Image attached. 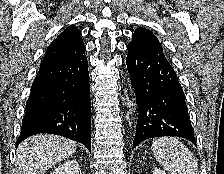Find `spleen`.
Segmentation results:
<instances>
[{
  "label": "spleen",
  "mask_w": 224,
  "mask_h": 174,
  "mask_svg": "<svg viewBox=\"0 0 224 174\" xmlns=\"http://www.w3.org/2000/svg\"><path fill=\"white\" fill-rule=\"evenodd\" d=\"M152 151L156 160L171 174H199L196 158L177 138L154 140Z\"/></svg>",
  "instance_id": "spleen-1"
}]
</instances>
